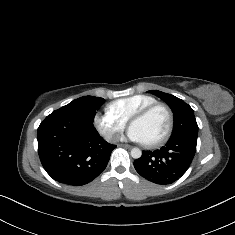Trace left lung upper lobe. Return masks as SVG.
Wrapping results in <instances>:
<instances>
[{
    "instance_id": "5c2ea615",
    "label": "left lung upper lobe",
    "mask_w": 235,
    "mask_h": 235,
    "mask_svg": "<svg viewBox=\"0 0 235 235\" xmlns=\"http://www.w3.org/2000/svg\"><path fill=\"white\" fill-rule=\"evenodd\" d=\"M164 100L174 114V127L171 138L187 136L197 139L198 125L193 109L183 100L158 90L149 91Z\"/></svg>"
}]
</instances>
